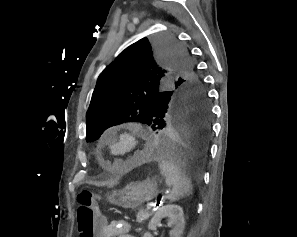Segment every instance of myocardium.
<instances>
[{"label": "myocardium", "mask_w": 297, "mask_h": 237, "mask_svg": "<svg viewBox=\"0 0 297 237\" xmlns=\"http://www.w3.org/2000/svg\"><path fill=\"white\" fill-rule=\"evenodd\" d=\"M118 142H125L127 149L121 154H115L112 150L113 145ZM107 149L110 155L120 160H128L133 158L141 149V141L134 129H126L110 136L107 140Z\"/></svg>", "instance_id": "1"}]
</instances>
